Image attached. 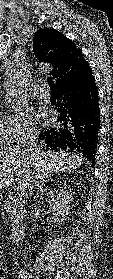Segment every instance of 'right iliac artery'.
I'll return each instance as SVG.
<instances>
[{
    "mask_svg": "<svg viewBox=\"0 0 113 279\" xmlns=\"http://www.w3.org/2000/svg\"><path fill=\"white\" fill-rule=\"evenodd\" d=\"M19 278H21V279H29L30 278V274L27 271L21 270L19 272Z\"/></svg>",
    "mask_w": 113,
    "mask_h": 279,
    "instance_id": "82829eb1",
    "label": "right iliac artery"
}]
</instances>
